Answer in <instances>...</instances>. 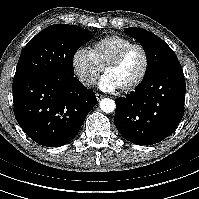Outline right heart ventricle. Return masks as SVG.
Instances as JSON below:
<instances>
[{"label": "right heart ventricle", "mask_w": 199, "mask_h": 199, "mask_svg": "<svg viewBox=\"0 0 199 199\" xmlns=\"http://www.w3.org/2000/svg\"><path fill=\"white\" fill-rule=\"evenodd\" d=\"M133 43L129 38L111 35L96 41L91 48V55L96 65L103 68L122 48Z\"/></svg>", "instance_id": "1"}]
</instances>
